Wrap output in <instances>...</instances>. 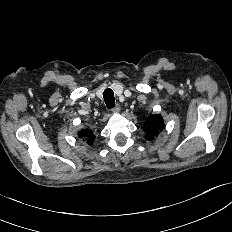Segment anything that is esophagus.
Returning <instances> with one entry per match:
<instances>
[{
	"mask_svg": "<svg viewBox=\"0 0 232 232\" xmlns=\"http://www.w3.org/2000/svg\"><path fill=\"white\" fill-rule=\"evenodd\" d=\"M120 105L119 104H116L113 108H112V112L113 113H118L120 111Z\"/></svg>",
	"mask_w": 232,
	"mask_h": 232,
	"instance_id": "esophagus-1",
	"label": "esophagus"
}]
</instances>
